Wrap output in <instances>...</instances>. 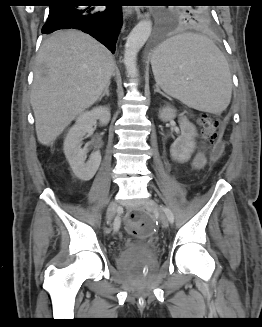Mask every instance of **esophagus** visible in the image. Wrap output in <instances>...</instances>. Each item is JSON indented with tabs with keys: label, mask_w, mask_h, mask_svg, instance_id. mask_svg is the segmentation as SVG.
<instances>
[{
	"label": "esophagus",
	"mask_w": 262,
	"mask_h": 327,
	"mask_svg": "<svg viewBox=\"0 0 262 327\" xmlns=\"http://www.w3.org/2000/svg\"><path fill=\"white\" fill-rule=\"evenodd\" d=\"M150 8H136V14L138 19L149 18L151 16Z\"/></svg>",
	"instance_id": "obj_1"
}]
</instances>
